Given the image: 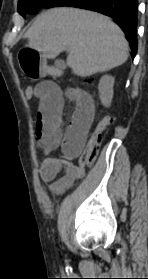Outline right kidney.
Listing matches in <instances>:
<instances>
[{
	"mask_svg": "<svg viewBox=\"0 0 148 279\" xmlns=\"http://www.w3.org/2000/svg\"><path fill=\"white\" fill-rule=\"evenodd\" d=\"M113 86H114V78L110 75H104L98 84L99 96L101 103L105 107H110L112 99H113Z\"/></svg>",
	"mask_w": 148,
	"mask_h": 279,
	"instance_id": "ca27d5eb",
	"label": "right kidney"
}]
</instances>
